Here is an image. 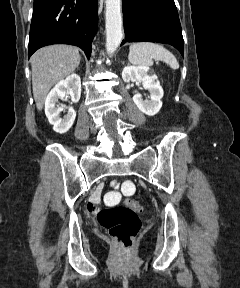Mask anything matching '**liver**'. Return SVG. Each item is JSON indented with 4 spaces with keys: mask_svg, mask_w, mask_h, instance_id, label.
I'll return each mask as SVG.
<instances>
[{
    "mask_svg": "<svg viewBox=\"0 0 240 288\" xmlns=\"http://www.w3.org/2000/svg\"><path fill=\"white\" fill-rule=\"evenodd\" d=\"M81 56L75 47L51 45L36 51L31 59L32 89L39 111L51 87L79 66Z\"/></svg>",
    "mask_w": 240,
    "mask_h": 288,
    "instance_id": "6515ba94",
    "label": "liver"
}]
</instances>
